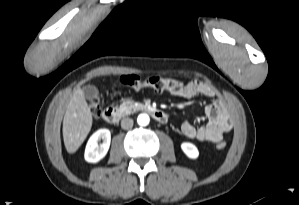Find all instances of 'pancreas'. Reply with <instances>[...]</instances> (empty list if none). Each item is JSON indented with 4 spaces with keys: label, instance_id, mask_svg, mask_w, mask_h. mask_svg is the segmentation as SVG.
Instances as JSON below:
<instances>
[{
    "label": "pancreas",
    "instance_id": "1",
    "mask_svg": "<svg viewBox=\"0 0 299 205\" xmlns=\"http://www.w3.org/2000/svg\"><path fill=\"white\" fill-rule=\"evenodd\" d=\"M143 107V104L127 99L120 104L119 109L126 114H131L138 110H141Z\"/></svg>",
    "mask_w": 299,
    "mask_h": 205
}]
</instances>
